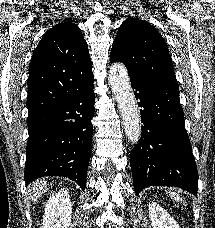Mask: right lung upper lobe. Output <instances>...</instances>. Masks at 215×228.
<instances>
[{
	"label": "right lung upper lobe",
	"mask_w": 215,
	"mask_h": 228,
	"mask_svg": "<svg viewBox=\"0 0 215 228\" xmlns=\"http://www.w3.org/2000/svg\"><path fill=\"white\" fill-rule=\"evenodd\" d=\"M92 62L81 30L65 21L47 31L29 66L28 120L68 95L69 85L92 75Z\"/></svg>",
	"instance_id": "cb5924a9"
}]
</instances>
